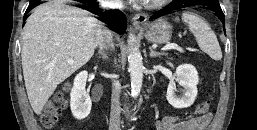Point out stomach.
Returning <instances> with one entry per match:
<instances>
[{
    "label": "stomach",
    "instance_id": "0dacf381",
    "mask_svg": "<svg viewBox=\"0 0 257 130\" xmlns=\"http://www.w3.org/2000/svg\"><path fill=\"white\" fill-rule=\"evenodd\" d=\"M145 38L155 44H163L168 42L172 37V26L163 19L154 21L145 28Z\"/></svg>",
    "mask_w": 257,
    "mask_h": 130
}]
</instances>
